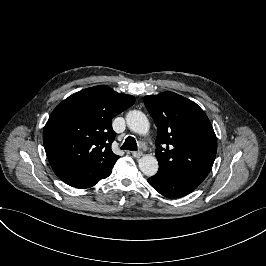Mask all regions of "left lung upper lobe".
Returning a JSON list of instances; mask_svg holds the SVG:
<instances>
[{"label": "left lung upper lobe", "mask_w": 266, "mask_h": 266, "mask_svg": "<svg viewBox=\"0 0 266 266\" xmlns=\"http://www.w3.org/2000/svg\"><path fill=\"white\" fill-rule=\"evenodd\" d=\"M144 103L157 126L159 168L200 184L217 152L216 135L206 114L173 92L145 96Z\"/></svg>", "instance_id": "5c2ea615"}]
</instances>
